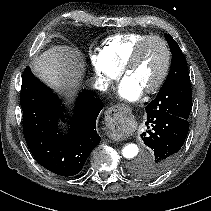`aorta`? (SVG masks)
Returning <instances> with one entry per match:
<instances>
[{"label":"aorta","instance_id":"762f6f07","mask_svg":"<svg viewBox=\"0 0 211 211\" xmlns=\"http://www.w3.org/2000/svg\"><path fill=\"white\" fill-rule=\"evenodd\" d=\"M139 148L134 143L126 144L122 149V155L126 159H133L138 155Z\"/></svg>","mask_w":211,"mask_h":211}]
</instances>
